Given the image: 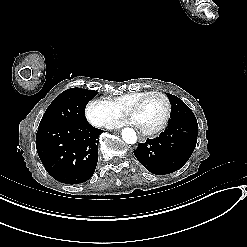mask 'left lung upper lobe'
<instances>
[{
    "mask_svg": "<svg viewBox=\"0 0 247 247\" xmlns=\"http://www.w3.org/2000/svg\"><path fill=\"white\" fill-rule=\"evenodd\" d=\"M172 104L171 119L169 122L182 118H195V115L178 97L167 93Z\"/></svg>",
    "mask_w": 247,
    "mask_h": 247,
    "instance_id": "left-lung-upper-lobe-1",
    "label": "left lung upper lobe"
}]
</instances>
